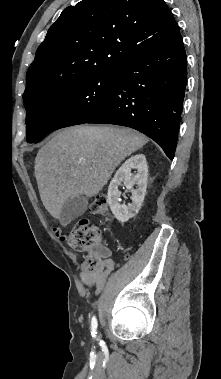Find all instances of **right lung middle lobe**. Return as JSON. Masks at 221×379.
<instances>
[{
	"instance_id": "obj_1",
	"label": "right lung middle lobe",
	"mask_w": 221,
	"mask_h": 379,
	"mask_svg": "<svg viewBox=\"0 0 221 379\" xmlns=\"http://www.w3.org/2000/svg\"><path fill=\"white\" fill-rule=\"evenodd\" d=\"M118 69L81 76L52 87L25 104L27 142L37 143L50 132L86 121L111 98Z\"/></svg>"
}]
</instances>
